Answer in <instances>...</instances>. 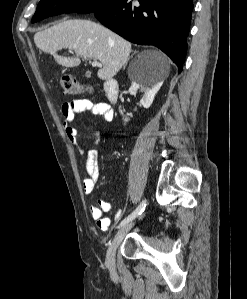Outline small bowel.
Here are the masks:
<instances>
[{
    "label": "small bowel",
    "instance_id": "obj_1",
    "mask_svg": "<svg viewBox=\"0 0 247 299\" xmlns=\"http://www.w3.org/2000/svg\"><path fill=\"white\" fill-rule=\"evenodd\" d=\"M82 112H89L92 115H98L106 122H110L113 119V112L107 103L93 102L89 99H76L70 102H65L61 107L63 127L67 138L75 144L77 143L79 136L77 129L74 127L75 116ZM99 141L100 136L97 133L94 145H98ZM82 156L84 169L87 174L83 180L82 186L84 193L89 195L94 191L95 185L100 177L98 152L95 148L87 151L82 150ZM97 204V206H90V215L100 230L108 231L111 221L110 218L104 216L103 213L111 211L112 205L104 199H98ZM122 216V211L117 210L114 216L115 221L121 220Z\"/></svg>",
    "mask_w": 247,
    "mask_h": 299
}]
</instances>
